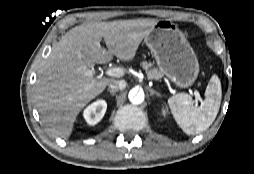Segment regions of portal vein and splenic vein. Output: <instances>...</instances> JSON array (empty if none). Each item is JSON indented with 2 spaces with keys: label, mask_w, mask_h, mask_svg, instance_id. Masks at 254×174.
Segmentation results:
<instances>
[{
  "label": "portal vein and splenic vein",
  "mask_w": 254,
  "mask_h": 174,
  "mask_svg": "<svg viewBox=\"0 0 254 174\" xmlns=\"http://www.w3.org/2000/svg\"><path fill=\"white\" fill-rule=\"evenodd\" d=\"M87 73L91 74L92 71H87ZM105 74L107 76H111V77H122L124 75V70L122 68H119V67H113V68L107 69ZM194 96H195V102L196 103L198 101H201L200 95L197 91L194 92Z\"/></svg>",
  "instance_id": "portal-vein-and-splenic-vein-1"
}]
</instances>
